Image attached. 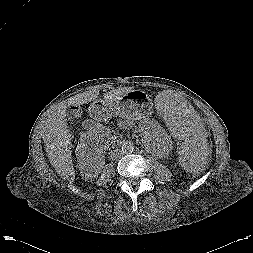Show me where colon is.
<instances>
[{
	"label": "colon",
	"instance_id": "obj_1",
	"mask_svg": "<svg viewBox=\"0 0 253 253\" xmlns=\"http://www.w3.org/2000/svg\"><path fill=\"white\" fill-rule=\"evenodd\" d=\"M70 113L72 116L77 117L80 114V109L78 107H72Z\"/></svg>",
	"mask_w": 253,
	"mask_h": 253
}]
</instances>
